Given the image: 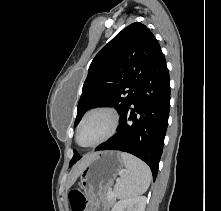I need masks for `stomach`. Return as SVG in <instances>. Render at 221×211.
Listing matches in <instances>:
<instances>
[{"label": "stomach", "instance_id": "0dacf381", "mask_svg": "<svg viewBox=\"0 0 221 211\" xmlns=\"http://www.w3.org/2000/svg\"><path fill=\"white\" fill-rule=\"evenodd\" d=\"M124 163L119 152L96 153L80 174V185L88 199L105 198L106 190L122 171Z\"/></svg>", "mask_w": 221, "mask_h": 211}]
</instances>
